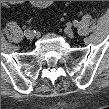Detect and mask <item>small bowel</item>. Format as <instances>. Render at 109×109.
I'll use <instances>...</instances> for the list:
<instances>
[{
  "label": "small bowel",
  "mask_w": 109,
  "mask_h": 109,
  "mask_svg": "<svg viewBox=\"0 0 109 109\" xmlns=\"http://www.w3.org/2000/svg\"><path fill=\"white\" fill-rule=\"evenodd\" d=\"M50 1H33V5L39 9H45L49 6Z\"/></svg>",
  "instance_id": "1"
}]
</instances>
